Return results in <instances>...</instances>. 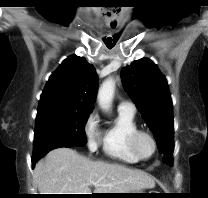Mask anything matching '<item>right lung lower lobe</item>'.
I'll return each instance as SVG.
<instances>
[{"mask_svg": "<svg viewBox=\"0 0 208 198\" xmlns=\"http://www.w3.org/2000/svg\"><path fill=\"white\" fill-rule=\"evenodd\" d=\"M74 145L66 143V142H57L54 143L52 145H50L49 147L45 148L44 152L41 154H33V159H32V165L34 166V164L46 153H48L49 151L56 149V148H61V147H72Z\"/></svg>", "mask_w": 208, "mask_h": 198, "instance_id": "right-lung-lower-lobe-1", "label": "right lung lower lobe"}]
</instances>
